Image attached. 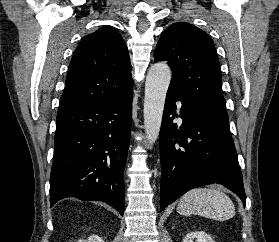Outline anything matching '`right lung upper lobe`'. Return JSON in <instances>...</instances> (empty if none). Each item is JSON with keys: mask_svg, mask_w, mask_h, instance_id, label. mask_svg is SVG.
I'll use <instances>...</instances> for the list:
<instances>
[{"mask_svg": "<svg viewBox=\"0 0 279 242\" xmlns=\"http://www.w3.org/2000/svg\"><path fill=\"white\" fill-rule=\"evenodd\" d=\"M132 86L127 46L114 27L104 26L74 51L58 111L116 99Z\"/></svg>", "mask_w": 279, "mask_h": 242, "instance_id": "1", "label": "right lung upper lobe"}]
</instances>
